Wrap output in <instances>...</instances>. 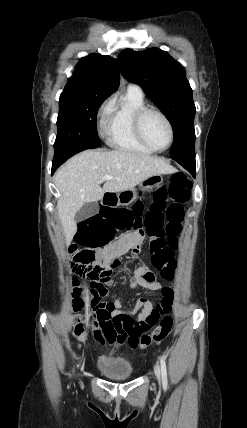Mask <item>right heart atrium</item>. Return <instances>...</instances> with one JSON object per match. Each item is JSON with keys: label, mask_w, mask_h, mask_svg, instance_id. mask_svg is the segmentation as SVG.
I'll return each instance as SVG.
<instances>
[{"label": "right heart atrium", "mask_w": 247, "mask_h": 428, "mask_svg": "<svg viewBox=\"0 0 247 428\" xmlns=\"http://www.w3.org/2000/svg\"><path fill=\"white\" fill-rule=\"evenodd\" d=\"M109 111H110L109 102L104 103L99 109V117L101 118L103 125L105 124V120L109 114Z\"/></svg>", "instance_id": "1"}]
</instances>
